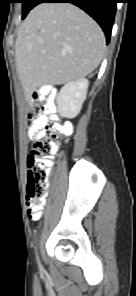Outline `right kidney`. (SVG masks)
<instances>
[{
	"label": "right kidney",
	"mask_w": 136,
	"mask_h": 296,
	"mask_svg": "<svg viewBox=\"0 0 136 296\" xmlns=\"http://www.w3.org/2000/svg\"><path fill=\"white\" fill-rule=\"evenodd\" d=\"M89 81L85 78L65 84L56 97L59 114L62 117L74 118L86 99Z\"/></svg>",
	"instance_id": "right-kidney-1"
}]
</instances>
